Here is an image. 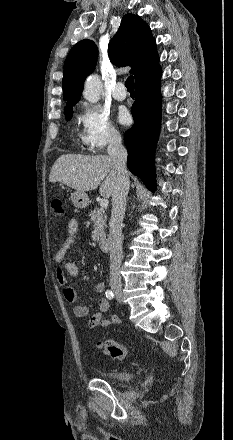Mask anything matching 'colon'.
Wrapping results in <instances>:
<instances>
[{
  "label": "colon",
  "instance_id": "colon-1",
  "mask_svg": "<svg viewBox=\"0 0 233 440\" xmlns=\"http://www.w3.org/2000/svg\"><path fill=\"white\" fill-rule=\"evenodd\" d=\"M52 213L54 216H61L64 212L63 203L61 200L55 199L51 204ZM97 346L102 352L113 359H126L131 355V351L124 345L112 340L104 339L97 342Z\"/></svg>",
  "mask_w": 233,
  "mask_h": 440
}]
</instances>
